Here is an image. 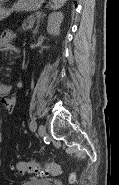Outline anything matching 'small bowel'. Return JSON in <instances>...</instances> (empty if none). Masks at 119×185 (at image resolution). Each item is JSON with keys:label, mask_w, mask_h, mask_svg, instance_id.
<instances>
[{"label": "small bowel", "mask_w": 119, "mask_h": 185, "mask_svg": "<svg viewBox=\"0 0 119 185\" xmlns=\"http://www.w3.org/2000/svg\"><path fill=\"white\" fill-rule=\"evenodd\" d=\"M14 34L12 32H5L1 37L0 48L2 51H13L15 50L14 45L12 44V39ZM19 87H22V82L18 83ZM11 92V87L7 84L0 85V95L1 102L4 105L5 109L8 112H12L16 106V98L13 96H9Z\"/></svg>", "instance_id": "obj_1"}]
</instances>
